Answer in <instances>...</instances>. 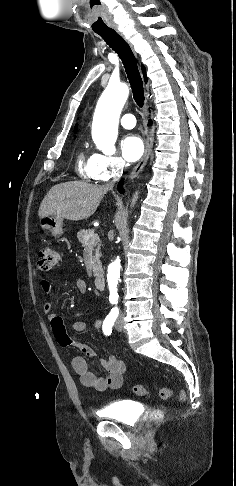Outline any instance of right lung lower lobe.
Wrapping results in <instances>:
<instances>
[{"label": "right lung lower lobe", "instance_id": "right-lung-lower-lobe-1", "mask_svg": "<svg viewBox=\"0 0 236 486\" xmlns=\"http://www.w3.org/2000/svg\"><path fill=\"white\" fill-rule=\"evenodd\" d=\"M122 185H123V180L120 181V183L118 184V189H120L119 190L120 193H123V190L121 189L122 188Z\"/></svg>", "mask_w": 236, "mask_h": 486}]
</instances>
